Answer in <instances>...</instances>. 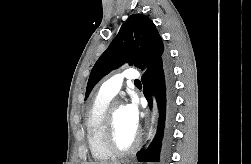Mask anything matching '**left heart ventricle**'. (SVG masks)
Instances as JSON below:
<instances>
[{
	"instance_id": "left-heart-ventricle-1",
	"label": "left heart ventricle",
	"mask_w": 251,
	"mask_h": 164,
	"mask_svg": "<svg viewBox=\"0 0 251 164\" xmlns=\"http://www.w3.org/2000/svg\"><path fill=\"white\" fill-rule=\"evenodd\" d=\"M116 139L121 147H128L133 143L136 131L129 125L122 105L115 109Z\"/></svg>"
}]
</instances>
